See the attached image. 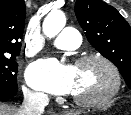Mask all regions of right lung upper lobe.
<instances>
[{
  "instance_id": "obj_1",
  "label": "right lung upper lobe",
  "mask_w": 131,
  "mask_h": 115,
  "mask_svg": "<svg viewBox=\"0 0 131 115\" xmlns=\"http://www.w3.org/2000/svg\"><path fill=\"white\" fill-rule=\"evenodd\" d=\"M25 11L24 0H0V53L20 51Z\"/></svg>"
}]
</instances>
